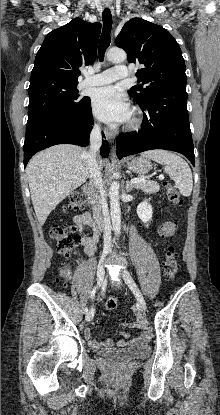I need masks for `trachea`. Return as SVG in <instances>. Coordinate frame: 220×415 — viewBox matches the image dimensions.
<instances>
[{"mask_svg":"<svg viewBox=\"0 0 220 415\" xmlns=\"http://www.w3.org/2000/svg\"><path fill=\"white\" fill-rule=\"evenodd\" d=\"M102 19H103V29H102V34L100 37V42H99V59L102 62L104 59V54L106 49L109 47L110 45V40H111V29H112V15H111V11L108 8H105L102 14Z\"/></svg>","mask_w":220,"mask_h":415,"instance_id":"trachea-1","label":"trachea"}]
</instances>
